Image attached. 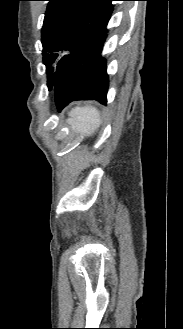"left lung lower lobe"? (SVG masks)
<instances>
[{
  "label": "left lung lower lobe",
  "mask_w": 183,
  "mask_h": 329,
  "mask_svg": "<svg viewBox=\"0 0 183 329\" xmlns=\"http://www.w3.org/2000/svg\"><path fill=\"white\" fill-rule=\"evenodd\" d=\"M111 14L112 11L104 16L82 39L73 54L60 65V71L49 88L55 89V102L59 111L75 100L95 99L106 103L109 77L102 50Z\"/></svg>",
  "instance_id": "0a47b994"
}]
</instances>
